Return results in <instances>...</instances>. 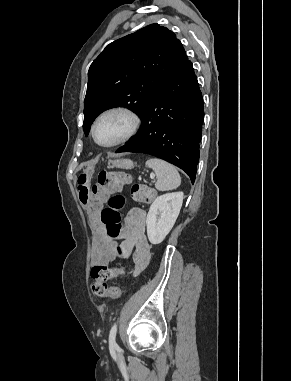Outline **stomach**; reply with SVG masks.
Listing matches in <instances>:
<instances>
[{
	"label": "stomach",
	"mask_w": 291,
	"mask_h": 381,
	"mask_svg": "<svg viewBox=\"0 0 291 381\" xmlns=\"http://www.w3.org/2000/svg\"><path fill=\"white\" fill-rule=\"evenodd\" d=\"M113 165L123 169H131L134 166V163L130 159H119L114 161Z\"/></svg>",
	"instance_id": "obj_1"
}]
</instances>
